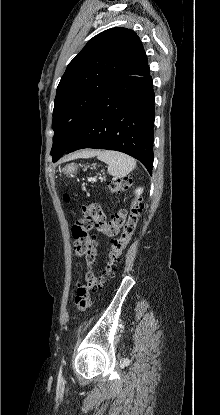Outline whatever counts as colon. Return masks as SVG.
<instances>
[{
  "instance_id": "colon-1",
  "label": "colon",
  "mask_w": 220,
  "mask_h": 415,
  "mask_svg": "<svg viewBox=\"0 0 220 415\" xmlns=\"http://www.w3.org/2000/svg\"><path fill=\"white\" fill-rule=\"evenodd\" d=\"M132 184L131 178H122L110 182L108 186L112 193H117L127 190ZM141 208V201L135 200L129 213L119 210L108 220L100 205L92 203L82 206L81 217L72 226L74 255L86 261L85 283H77L72 294L73 303L79 311L85 312L90 308V291L100 288L106 277L113 273L135 233ZM93 228L112 240L106 266L99 276L92 271L96 259V243L91 235Z\"/></svg>"
}]
</instances>
